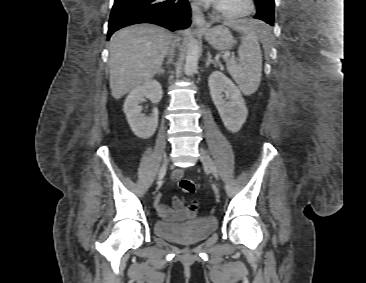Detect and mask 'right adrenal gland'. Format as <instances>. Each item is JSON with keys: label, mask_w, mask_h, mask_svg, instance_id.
<instances>
[{"label": "right adrenal gland", "mask_w": 366, "mask_h": 283, "mask_svg": "<svg viewBox=\"0 0 366 283\" xmlns=\"http://www.w3.org/2000/svg\"><path fill=\"white\" fill-rule=\"evenodd\" d=\"M169 63H171V62H168L167 64H169ZM164 73H165V69L161 66V67L158 69L157 74H158V75H163Z\"/></svg>", "instance_id": "2a0ac1e0"}]
</instances>
